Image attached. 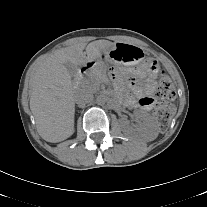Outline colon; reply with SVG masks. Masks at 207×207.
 <instances>
[{"instance_id": "1", "label": "colon", "mask_w": 207, "mask_h": 207, "mask_svg": "<svg viewBox=\"0 0 207 207\" xmlns=\"http://www.w3.org/2000/svg\"><path fill=\"white\" fill-rule=\"evenodd\" d=\"M147 66L152 70H158L157 62L155 60H149ZM155 95L162 100V102L156 107L154 117L160 131L165 132L175 110L174 106L168 101L174 99L176 92L171 79L164 72L159 76Z\"/></svg>"}]
</instances>
